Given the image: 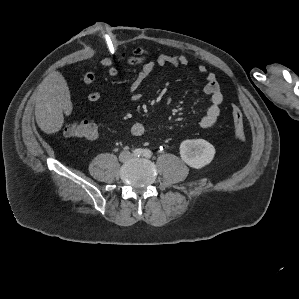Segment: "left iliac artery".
Masks as SVG:
<instances>
[{"mask_svg":"<svg viewBox=\"0 0 299 299\" xmlns=\"http://www.w3.org/2000/svg\"><path fill=\"white\" fill-rule=\"evenodd\" d=\"M143 156L146 158H150L152 156V152L149 149H145L143 152Z\"/></svg>","mask_w":299,"mask_h":299,"instance_id":"obj_1","label":"left iliac artery"}]
</instances>
